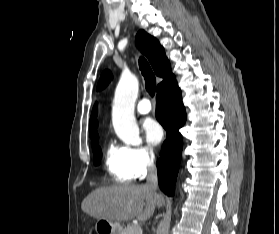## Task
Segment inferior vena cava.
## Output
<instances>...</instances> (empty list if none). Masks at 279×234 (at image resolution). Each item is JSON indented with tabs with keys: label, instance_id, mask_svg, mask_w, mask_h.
Returning <instances> with one entry per match:
<instances>
[{
	"label": "inferior vena cava",
	"instance_id": "602c4592",
	"mask_svg": "<svg viewBox=\"0 0 279 234\" xmlns=\"http://www.w3.org/2000/svg\"><path fill=\"white\" fill-rule=\"evenodd\" d=\"M146 186L151 188L154 191L158 188L157 170L154 166L153 160H151L150 167L148 169Z\"/></svg>",
	"mask_w": 279,
	"mask_h": 234
}]
</instances>
